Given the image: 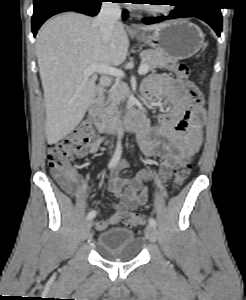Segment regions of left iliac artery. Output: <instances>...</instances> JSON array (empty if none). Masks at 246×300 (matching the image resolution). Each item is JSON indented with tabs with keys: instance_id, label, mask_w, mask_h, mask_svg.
<instances>
[{
	"instance_id": "44dca946",
	"label": "left iliac artery",
	"mask_w": 246,
	"mask_h": 300,
	"mask_svg": "<svg viewBox=\"0 0 246 300\" xmlns=\"http://www.w3.org/2000/svg\"><path fill=\"white\" fill-rule=\"evenodd\" d=\"M149 224L152 225V226H154V227L157 226V222H156V220L154 218H150L149 219Z\"/></svg>"
}]
</instances>
